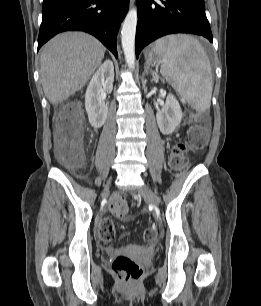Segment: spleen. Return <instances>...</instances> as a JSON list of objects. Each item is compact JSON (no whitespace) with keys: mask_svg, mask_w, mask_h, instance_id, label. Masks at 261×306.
Returning <instances> with one entry per match:
<instances>
[{"mask_svg":"<svg viewBox=\"0 0 261 306\" xmlns=\"http://www.w3.org/2000/svg\"><path fill=\"white\" fill-rule=\"evenodd\" d=\"M153 50L160 58L162 75L179 95L197 111H208L212 69L199 41L185 34L168 35L156 40Z\"/></svg>","mask_w":261,"mask_h":306,"instance_id":"spleen-1","label":"spleen"}]
</instances>
